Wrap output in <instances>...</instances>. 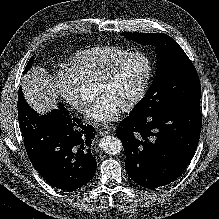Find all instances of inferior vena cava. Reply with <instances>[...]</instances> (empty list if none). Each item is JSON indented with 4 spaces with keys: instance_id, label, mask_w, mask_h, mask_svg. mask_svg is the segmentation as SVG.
Masks as SVG:
<instances>
[{
    "instance_id": "obj_1",
    "label": "inferior vena cava",
    "mask_w": 219,
    "mask_h": 219,
    "mask_svg": "<svg viewBox=\"0 0 219 219\" xmlns=\"http://www.w3.org/2000/svg\"><path fill=\"white\" fill-rule=\"evenodd\" d=\"M84 107H85V105L79 106L80 111H83V110H84Z\"/></svg>"
}]
</instances>
